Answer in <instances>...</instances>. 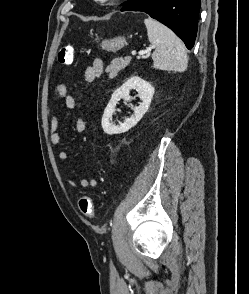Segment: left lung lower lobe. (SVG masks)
I'll list each match as a JSON object with an SVG mask.
<instances>
[{
    "label": "left lung lower lobe",
    "instance_id": "1",
    "mask_svg": "<svg viewBox=\"0 0 249 294\" xmlns=\"http://www.w3.org/2000/svg\"><path fill=\"white\" fill-rule=\"evenodd\" d=\"M200 0H129L121 11H142L160 21L193 48L198 27Z\"/></svg>",
    "mask_w": 249,
    "mask_h": 294
}]
</instances>
